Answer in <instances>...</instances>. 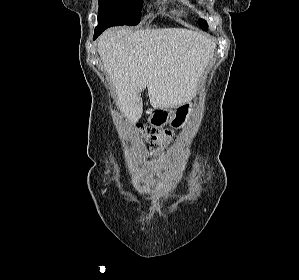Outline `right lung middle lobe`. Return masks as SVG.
Returning a JSON list of instances; mask_svg holds the SVG:
<instances>
[{
  "label": "right lung middle lobe",
  "instance_id": "1",
  "mask_svg": "<svg viewBox=\"0 0 299 280\" xmlns=\"http://www.w3.org/2000/svg\"><path fill=\"white\" fill-rule=\"evenodd\" d=\"M143 0H99L98 15L114 19L117 25H137Z\"/></svg>",
  "mask_w": 299,
  "mask_h": 280
}]
</instances>
